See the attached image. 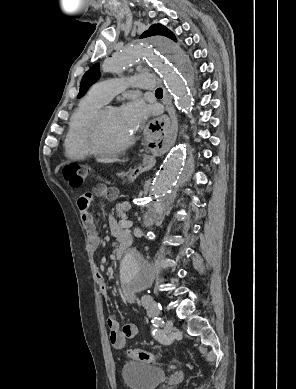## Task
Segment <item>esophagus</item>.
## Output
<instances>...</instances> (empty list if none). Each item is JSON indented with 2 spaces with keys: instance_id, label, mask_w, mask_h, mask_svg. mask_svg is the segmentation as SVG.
Here are the masks:
<instances>
[{
  "instance_id": "esophagus-1",
  "label": "esophagus",
  "mask_w": 296,
  "mask_h": 389,
  "mask_svg": "<svg viewBox=\"0 0 296 389\" xmlns=\"http://www.w3.org/2000/svg\"><path fill=\"white\" fill-rule=\"evenodd\" d=\"M165 101H166V110L164 112V117L160 121H155L153 119L150 120L146 124V126L142 127L141 135L143 139H162L165 131H170L172 124L176 125V113L174 106L172 104V100L168 95L167 91L164 90ZM155 165V160L153 157L145 154L142 160V163L136 167L139 172H142L147 169L153 168Z\"/></svg>"
}]
</instances>
